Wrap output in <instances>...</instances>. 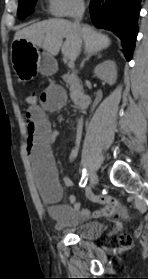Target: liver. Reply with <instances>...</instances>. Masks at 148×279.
I'll use <instances>...</instances> for the list:
<instances>
[{
    "label": "liver",
    "instance_id": "obj_1",
    "mask_svg": "<svg viewBox=\"0 0 148 279\" xmlns=\"http://www.w3.org/2000/svg\"><path fill=\"white\" fill-rule=\"evenodd\" d=\"M15 40L24 39L37 47H41L46 54L56 56L60 49L64 57L75 60L78 40L84 42L85 52L94 54L110 45L107 35L97 32L90 26L80 27L76 32L73 24L64 19H49L25 27L15 33ZM65 39V42H63Z\"/></svg>",
    "mask_w": 148,
    "mask_h": 279
}]
</instances>
